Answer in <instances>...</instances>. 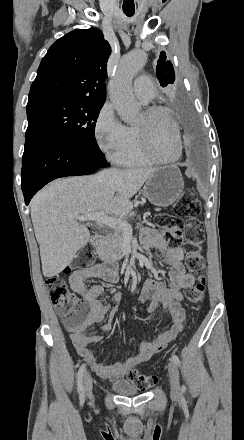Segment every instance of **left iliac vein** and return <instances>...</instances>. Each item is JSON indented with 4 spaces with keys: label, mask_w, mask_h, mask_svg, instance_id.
Returning a JSON list of instances; mask_svg holds the SVG:
<instances>
[{
    "label": "left iliac vein",
    "mask_w": 244,
    "mask_h": 440,
    "mask_svg": "<svg viewBox=\"0 0 244 440\" xmlns=\"http://www.w3.org/2000/svg\"><path fill=\"white\" fill-rule=\"evenodd\" d=\"M170 377L171 395L178 401L181 399V387L179 383V370L174 362L170 361L168 365Z\"/></svg>",
    "instance_id": "obj_1"
}]
</instances>
